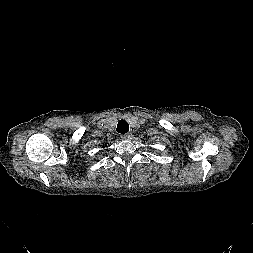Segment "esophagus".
Listing matches in <instances>:
<instances>
[{
    "label": "esophagus",
    "instance_id": "34e87169",
    "mask_svg": "<svg viewBox=\"0 0 253 253\" xmlns=\"http://www.w3.org/2000/svg\"><path fill=\"white\" fill-rule=\"evenodd\" d=\"M132 137H133L132 133H126V134L121 135V138L124 140L132 139Z\"/></svg>",
    "mask_w": 253,
    "mask_h": 253
}]
</instances>
